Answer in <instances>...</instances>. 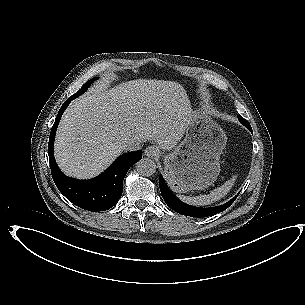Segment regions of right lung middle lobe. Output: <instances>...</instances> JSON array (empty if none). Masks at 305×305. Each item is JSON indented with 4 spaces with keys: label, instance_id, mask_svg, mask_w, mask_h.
<instances>
[{
    "label": "right lung middle lobe",
    "instance_id": "right-lung-middle-lobe-1",
    "mask_svg": "<svg viewBox=\"0 0 305 305\" xmlns=\"http://www.w3.org/2000/svg\"><path fill=\"white\" fill-rule=\"evenodd\" d=\"M96 78H93L89 81H87L82 87L81 89L74 95H72L71 97L73 98H77L78 96H80L82 93H84L88 88L89 86L91 85V83L93 82V80H95Z\"/></svg>",
    "mask_w": 305,
    "mask_h": 305
}]
</instances>
